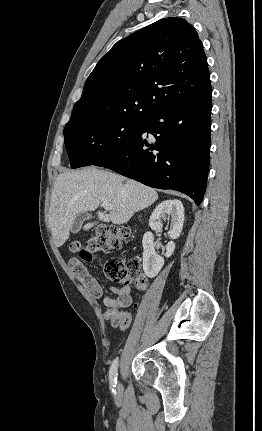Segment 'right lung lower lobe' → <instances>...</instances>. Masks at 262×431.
Wrapping results in <instances>:
<instances>
[{
    "label": "right lung lower lobe",
    "instance_id": "1",
    "mask_svg": "<svg viewBox=\"0 0 262 431\" xmlns=\"http://www.w3.org/2000/svg\"><path fill=\"white\" fill-rule=\"evenodd\" d=\"M211 96L209 84L196 96L146 117L131 140L93 165L150 187L183 192L199 205L210 162Z\"/></svg>",
    "mask_w": 262,
    "mask_h": 431
}]
</instances>
